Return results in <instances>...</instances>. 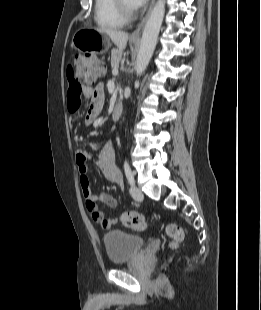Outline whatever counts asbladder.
I'll list each match as a JSON object with an SVG mask.
<instances>
[{"mask_svg":"<svg viewBox=\"0 0 261 310\" xmlns=\"http://www.w3.org/2000/svg\"><path fill=\"white\" fill-rule=\"evenodd\" d=\"M103 240L112 264H122L134 259L146 245L143 237L123 231H111L104 235Z\"/></svg>","mask_w":261,"mask_h":310,"instance_id":"1","label":"bladder"}]
</instances>
